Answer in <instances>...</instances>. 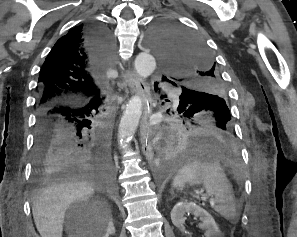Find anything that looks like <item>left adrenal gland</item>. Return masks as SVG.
I'll return each mask as SVG.
<instances>
[{"label":"left adrenal gland","instance_id":"obj_1","mask_svg":"<svg viewBox=\"0 0 297 237\" xmlns=\"http://www.w3.org/2000/svg\"><path fill=\"white\" fill-rule=\"evenodd\" d=\"M171 195H172V199L175 197L173 190L170 191Z\"/></svg>","mask_w":297,"mask_h":237}]
</instances>
